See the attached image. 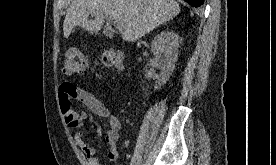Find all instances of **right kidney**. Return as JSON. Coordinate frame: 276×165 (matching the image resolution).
I'll return each instance as SVG.
<instances>
[{"label": "right kidney", "mask_w": 276, "mask_h": 165, "mask_svg": "<svg viewBox=\"0 0 276 165\" xmlns=\"http://www.w3.org/2000/svg\"><path fill=\"white\" fill-rule=\"evenodd\" d=\"M179 36L173 31H163L152 41L151 51L161 61V73L157 77L155 89L166 84L175 69L178 58Z\"/></svg>", "instance_id": "right-kidney-1"}]
</instances>
